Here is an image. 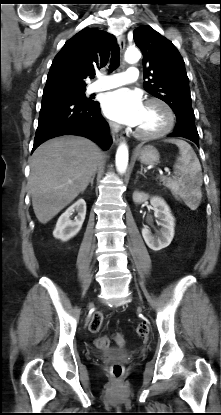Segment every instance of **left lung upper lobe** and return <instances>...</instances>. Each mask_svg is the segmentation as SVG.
Segmentation results:
<instances>
[{
  "instance_id": "left-lung-upper-lobe-1",
  "label": "left lung upper lobe",
  "mask_w": 221,
  "mask_h": 415,
  "mask_svg": "<svg viewBox=\"0 0 221 415\" xmlns=\"http://www.w3.org/2000/svg\"><path fill=\"white\" fill-rule=\"evenodd\" d=\"M134 41L143 54V86L166 102L176 114L194 116L185 63L171 41L149 26L134 30Z\"/></svg>"
}]
</instances>
